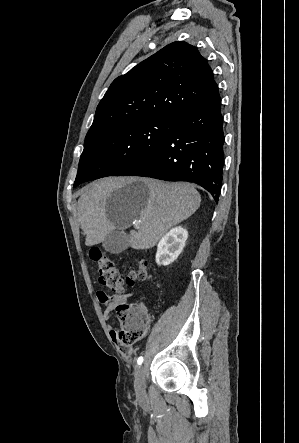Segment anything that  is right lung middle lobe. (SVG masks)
Masks as SVG:
<instances>
[{
	"label": "right lung middle lobe",
	"instance_id": "1",
	"mask_svg": "<svg viewBox=\"0 0 299 443\" xmlns=\"http://www.w3.org/2000/svg\"><path fill=\"white\" fill-rule=\"evenodd\" d=\"M172 117L134 120L87 137L74 187L116 176L152 152L173 131Z\"/></svg>",
	"mask_w": 299,
	"mask_h": 443
}]
</instances>
